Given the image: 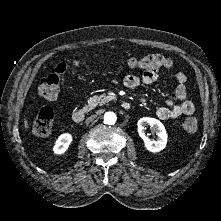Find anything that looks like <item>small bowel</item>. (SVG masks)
Wrapping results in <instances>:
<instances>
[{
  "mask_svg": "<svg viewBox=\"0 0 221 221\" xmlns=\"http://www.w3.org/2000/svg\"><path fill=\"white\" fill-rule=\"evenodd\" d=\"M174 78L177 82L175 98L174 100L167 101L164 106L155 110L154 115L159 120H169L181 116H190L195 112L194 103L188 99L186 88V82L188 79L187 75L184 72H176L174 74ZM156 79V73L145 71L141 77L133 74L126 75L122 83L124 87L134 89L142 83H153Z\"/></svg>",
  "mask_w": 221,
  "mask_h": 221,
  "instance_id": "obj_1",
  "label": "small bowel"
}]
</instances>
